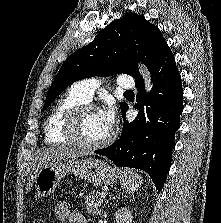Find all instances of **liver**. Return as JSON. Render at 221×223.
<instances>
[{
	"label": "liver",
	"instance_id": "1",
	"mask_svg": "<svg viewBox=\"0 0 221 223\" xmlns=\"http://www.w3.org/2000/svg\"><path fill=\"white\" fill-rule=\"evenodd\" d=\"M83 154L84 152L82 150L72 147L56 146L47 148L42 152H40L35 158V163H36L35 177L39 172V170L45 166L51 165L60 160L76 158L82 156ZM35 177L34 176L31 177L29 183L27 184V191L32 186V182Z\"/></svg>",
	"mask_w": 221,
	"mask_h": 223
}]
</instances>
